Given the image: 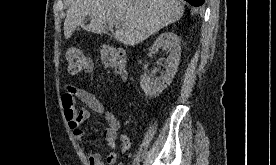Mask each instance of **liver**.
<instances>
[{
	"instance_id": "1",
	"label": "liver",
	"mask_w": 276,
	"mask_h": 165,
	"mask_svg": "<svg viewBox=\"0 0 276 165\" xmlns=\"http://www.w3.org/2000/svg\"><path fill=\"white\" fill-rule=\"evenodd\" d=\"M183 14L184 6L177 0H75L66 13L64 36L70 38L78 26L101 34L110 22L117 23L114 38L134 46ZM87 15L90 24L85 26Z\"/></svg>"
}]
</instances>
